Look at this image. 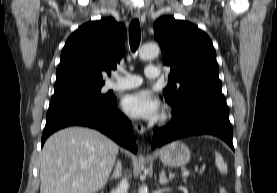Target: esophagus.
<instances>
[{
	"label": "esophagus",
	"instance_id": "1",
	"mask_svg": "<svg viewBox=\"0 0 277 193\" xmlns=\"http://www.w3.org/2000/svg\"><path fill=\"white\" fill-rule=\"evenodd\" d=\"M131 14L134 18H139L140 17V9L136 6H132ZM134 128L138 134H143L146 131L145 126H143L141 123H134Z\"/></svg>",
	"mask_w": 277,
	"mask_h": 193
}]
</instances>
